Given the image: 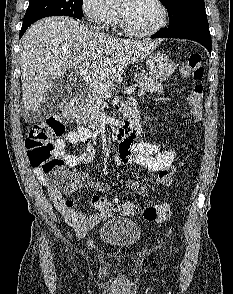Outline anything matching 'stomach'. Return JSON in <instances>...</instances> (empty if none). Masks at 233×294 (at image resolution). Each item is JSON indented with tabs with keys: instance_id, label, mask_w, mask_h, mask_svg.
I'll use <instances>...</instances> for the list:
<instances>
[{
	"instance_id": "0dacf381",
	"label": "stomach",
	"mask_w": 233,
	"mask_h": 294,
	"mask_svg": "<svg viewBox=\"0 0 233 294\" xmlns=\"http://www.w3.org/2000/svg\"><path fill=\"white\" fill-rule=\"evenodd\" d=\"M146 64L151 78L157 81L168 79L175 71L173 61L163 53H154L147 57Z\"/></svg>"
}]
</instances>
